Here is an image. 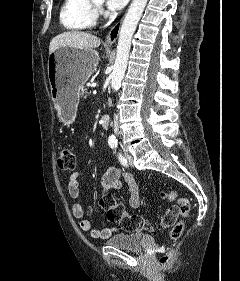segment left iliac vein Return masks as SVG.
<instances>
[{"mask_svg":"<svg viewBox=\"0 0 240 281\" xmlns=\"http://www.w3.org/2000/svg\"><path fill=\"white\" fill-rule=\"evenodd\" d=\"M125 157L129 164L133 163V157L131 156V154H129L128 152H125Z\"/></svg>","mask_w":240,"mask_h":281,"instance_id":"1","label":"left iliac vein"}]
</instances>
